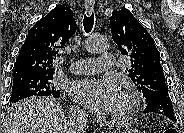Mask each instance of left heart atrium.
Here are the masks:
<instances>
[{"label":"left heart atrium","instance_id":"left-heart-atrium-1","mask_svg":"<svg viewBox=\"0 0 184 133\" xmlns=\"http://www.w3.org/2000/svg\"><path fill=\"white\" fill-rule=\"evenodd\" d=\"M70 91L77 102L94 113L111 111L119 98L117 85L109 78L79 80Z\"/></svg>","mask_w":184,"mask_h":133}]
</instances>
